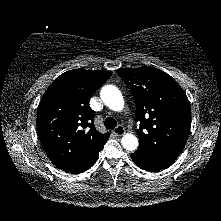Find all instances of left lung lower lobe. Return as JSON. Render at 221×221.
<instances>
[{
	"instance_id": "0a47b994",
	"label": "left lung lower lobe",
	"mask_w": 221,
	"mask_h": 221,
	"mask_svg": "<svg viewBox=\"0 0 221 221\" xmlns=\"http://www.w3.org/2000/svg\"><path fill=\"white\" fill-rule=\"evenodd\" d=\"M131 158L137 166L146 171H158L170 166L174 162L173 159L148 156L138 152L132 153Z\"/></svg>"
}]
</instances>
